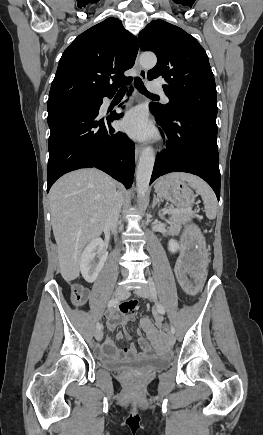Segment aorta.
I'll return each mask as SVG.
<instances>
[{
	"label": "aorta",
	"mask_w": 263,
	"mask_h": 435,
	"mask_svg": "<svg viewBox=\"0 0 263 435\" xmlns=\"http://www.w3.org/2000/svg\"><path fill=\"white\" fill-rule=\"evenodd\" d=\"M157 58L152 53L142 54L140 64L144 68H153L156 65ZM155 162V153L152 147H146L139 158L136 172V187L138 200L142 203L148 192L149 183Z\"/></svg>",
	"instance_id": "obj_1"
}]
</instances>
